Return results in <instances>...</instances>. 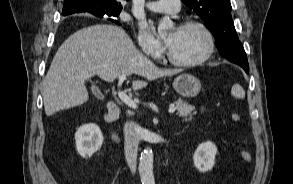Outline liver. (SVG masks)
Wrapping results in <instances>:
<instances>
[{
    "instance_id": "1",
    "label": "liver",
    "mask_w": 293,
    "mask_h": 184,
    "mask_svg": "<svg viewBox=\"0 0 293 184\" xmlns=\"http://www.w3.org/2000/svg\"><path fill=\"white\" fill-rule=\"evenodd\" d=\"M180 69H160L144 56L120 27L97 24L78 30L57 50L42 83L45 113L52 116L64 109L85 103V81L98 75L113 82L121 75L133 73L152 81L172 76ZM147 81H133L134 90Z\"/></svg>"
}]
</instances>
